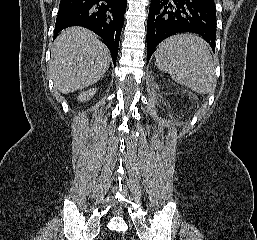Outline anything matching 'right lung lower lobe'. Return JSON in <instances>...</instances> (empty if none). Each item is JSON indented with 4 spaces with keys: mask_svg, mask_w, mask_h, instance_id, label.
Returning a JSON list of instances; mask_svg holds the SVG:
<instances>
[{
    "mask_svg": "<svg viewBox=\"0 0 257 240\" xmlns=\"http://www.w3.org/2000/svg\"><path fill=\"white\" fill-rule=\"evenodd\" d=\"M127 0H61L54 38L70 26L85 27L103 39L115 65Z\"/></svg>",
    "mask_w": 257,
    "mask_h": 240,
    "instance_id": "right-lung-lower-lobe-1",
    "label": "right lung lower lobe"
}]
</instances>
